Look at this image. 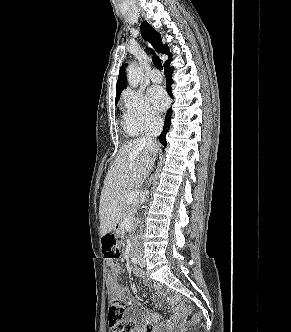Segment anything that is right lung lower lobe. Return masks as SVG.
Returning a JSON list of instances; mask_svg holds the SVG:
<instances>
[{"instance_id":"1","label":"right lung lower lobe","mask_w":291,"mask_h":332,"mask_svg":"<svg viewBox=\"0 0 291 332\" xmlns=\"http://www.w3.org/2000/svg\"><path fill=\"white\" fill-rule=\"evenodd\" d=\"M169 63H170V61L164 64V69H165L164 72H165V77H166L167 92L171 97H173L172 92H171V84L173 83V80L171 78V73L173 72V67H170ZM171 114H172V109L170 108L166 113L163 131L159 136V141L163 144L164 147L166 146V134L170 128Z\"/></svg>"}]
</instances>
